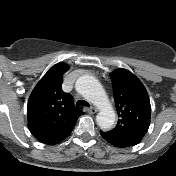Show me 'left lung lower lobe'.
Here are the masks:
<instances>
[{
	"label": "left lung lower lobe",
	"instance_id": "1",
	"mask_svg": "<svg viewBox=\"0 0 176 176\" xmlns=\"http://www.w3.org/2000/svg\"><path fill=\"white\" fill-rule=\"evenodd\" d=\"M101 135H102V137H103L106 141H108L110 144H112V145H114V146H116V147H121V148H123V147H129V146H131V145H129V144H127V143L121 141L120 139H117V138H115V137H113V136L107 134L106 132H101Z\"/></svg>",
	"mask_w": 176,
	"mask_h": 176
}]
</instances>
